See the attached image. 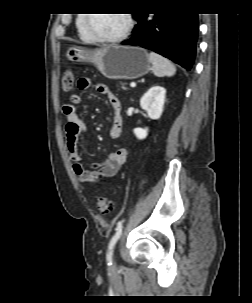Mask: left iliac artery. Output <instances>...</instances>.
<instances>
[{
    "label": "left iliac artery",
    "mask_w": 252,
    "mask_h": 303,
    "mask_svg": "<svg viewBox=\"0 0 252 303\" xmlns=\"http://www.w3.org/2000/svg\"><path fill=\"white\" fill-rule=\"evenodd\" d=\"M122 228H123V223L122 221H119L116 227V232L114 234V236L112 237V239L110 240L109 246H108V252H107V260L108 261H112V256H113V249L114 246L116 244V242L118 241V239L121 236L122 233Z\"/></svg>",
    "instance_id": "44dca946"
}]
</instances>
